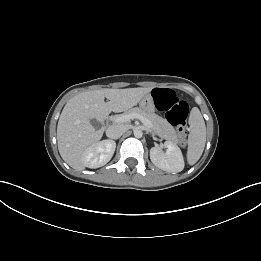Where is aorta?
<instances>
[{
    "mask_svg": "<svg viewBox=\"0 0 261 261\" xmlns=\"http://www.w3.org/2000/svg\"><path fill=\"white\" fill-rule=\"evenodd\" d=\"M142 135H143V133H142L141 130H139V129L134 130V136H135L136 138H141Z\"/></svg>",
    "mask_w": 261,
    "mask_h": 261,
    "instance_id": "1",
    "label": "aorta"
}]
</instances>
